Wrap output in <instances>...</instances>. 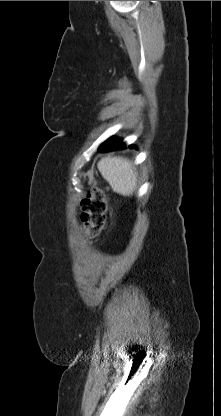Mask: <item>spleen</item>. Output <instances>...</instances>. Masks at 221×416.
<instances>
[{"mask_svg":"<svg viewBox=\"0 0 221 416\" xmlns=\"http://www.w3.org/2000/svg\"><path fill=\"white\" fill-rule=\"evenodd\" d=\"M97 166L103 178L115 192L129 196L136 190L137 173L126 158L105 157L98 162Z\"/></svg>","mask_w":221,"mask_h":416,"instance_id":"3e777b00","label":"spleen"}]
</instances>
